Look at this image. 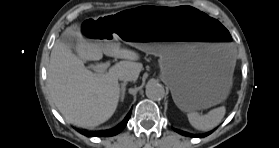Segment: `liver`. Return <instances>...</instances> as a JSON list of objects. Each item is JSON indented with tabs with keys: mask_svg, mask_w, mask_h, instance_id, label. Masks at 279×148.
Masks as SVG:
<instances>
[{
	"mask_svg": "<svg viewBox=\"0 0 279 148\" xmlns=\"http://www.w3.org/2000/svg\"><path fill=\"white\" fill-rule=\"evenodd\" d=\"M73 25L64 33L76 41L77 55L57 40L47 69V82L52 102L66 121L84 128H94L114 114L119 101L120 76L136 81L143 69L140 57L132 50L117 45H103L86 39ZM103 54L124 59L112 66L107 73H93L86 61L102 59Z\"/></svg>",
	"mask_w": 279,
	"mask_h": 148,
	"instance_id": "6515ba94",
	"label": "liver"
}]
</instances>
